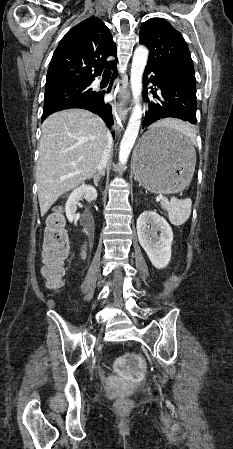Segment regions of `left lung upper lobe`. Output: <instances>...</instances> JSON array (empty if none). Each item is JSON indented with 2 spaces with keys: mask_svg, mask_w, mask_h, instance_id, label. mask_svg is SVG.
I'll list each match as a JSON object with an SVG mask.
<instances>
[{
  "mask_svg": "<svg viewBox=\"0 0 233 449\" xmlns=\"http://www.w3.org/2000/svg\"><path fill=\"white\" fill-rule=\"evenodd\" d=\"M140 43L149 49L148 64L196 90L193 61L181 33L162 18L141 25Z\"/></svg>",
  "mask_w": 233,
  "mask_h": 449,
  "instance_id": "5c2ea615",
  "label": "left lung upper lobe"
}]
</instances>
